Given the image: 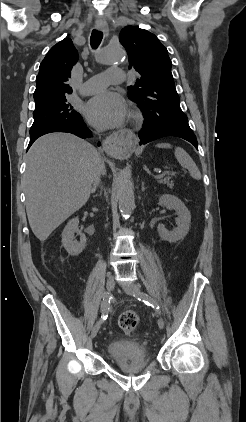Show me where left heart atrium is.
Returning a JSON list of instances; mask_svg holds the SVG:
<instances>
[{"mask_svg":"<svg viewBox=\"0 0 246 422\" xmlns=\"http://www.w3.org/2000/svg\"><path fill=\"white\" fill-rule=\"evenodd\" d=\"M85 113L93 126L109 129L121 126L127 118L128 110L119 94L106 91L88 101Z\"/></svg>","mask_w":246,"mask_h":422,"instance_id":"left-heart-atrium-1","label":"left heart atrium"}]
</instances>
